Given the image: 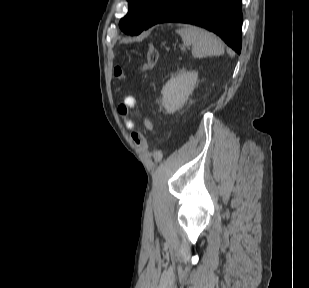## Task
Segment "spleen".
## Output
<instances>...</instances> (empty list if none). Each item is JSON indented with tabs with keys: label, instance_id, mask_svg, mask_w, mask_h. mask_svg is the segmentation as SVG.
Wrapping results in <instances>:
<instances>
[{
	"label": "spleen",
	"instance_id": "spleen-1",
	"mask_svg": "<svg viewBox=\"0 0 309 288\" xmlns=\"http://www.w3.org/2000/svg\"><path fill=\"white\" fill-rule=\"evenodd\" d=\"M185 45L192 46L194 57L220 56L224 53L222 41L213 33L195 26H185L177 30Z\"/></svg>",
	"mask_w": 309,
	"mask_h": 288
}]
</instances>
